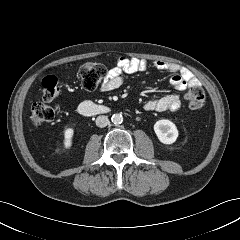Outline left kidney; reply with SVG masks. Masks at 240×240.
I'll return each instance as SVG.
<instances>
[{"label": "left kidney", "mask_w": 240, "mask_h": 240, "mask_svg": "<svg viewBox=\"0 0 240 240\" xmlns=\"http://www.w3.org/2000/svg\"><path fill=\"white\" fill-rule=\"evenodd\" d=\"M154 131L163 144H173L179 135L176 125L167 119L158 120L154 124Z\"/></svg>", "instance_id": "left-kidney-1"}]
</instances>
